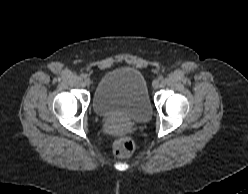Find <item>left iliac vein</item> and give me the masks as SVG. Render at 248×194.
Instances as JSON below:
<instances>
[{"instance_id":"left-iliac-vein-1","label":"left iliac vein","mask_w":248,"mask_h":194,"mask_svg":"<svg viewBox=\"0 0 248 194\" xmlns=\"http://www.w3.org/2000/svg\"><path fill=\"white\" fill-rule=\"evenodd\" d=\"M160 83H159V80H154L153 83H152V86L154 89H157L159 87Z\"/></svg>"}]
</instances>
